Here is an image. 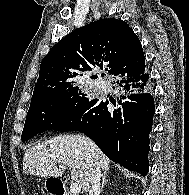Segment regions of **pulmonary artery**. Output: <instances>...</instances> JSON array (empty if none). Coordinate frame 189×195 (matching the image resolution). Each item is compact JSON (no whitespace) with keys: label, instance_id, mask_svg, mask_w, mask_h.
Instances as JSON below:
<instances>
[{"label":"pulmonary artery","instance_id":"pulmonary-artery-1","mask_svg":"<svg viewBox=\"0 0 189 195\" xmlns=\"http://www.w3.org/2000/svg\"><path fill=\"white\" fill-rule=\"evenodd\" d=\"M93 85L96 86L97 88H100V89H104L105 88L104 85L99 84V83H94Z\"/></svg>","mask_w":189,"mask_h":195}]
</instances>
